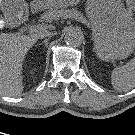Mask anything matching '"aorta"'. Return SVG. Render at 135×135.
<instances>
[{"mask_svg": "<svg viewBox=\"0 0 135 135\" xmlns=\"http://www.w3.org/2000/svg\"><path fill=\"white\" fill-rule=\"evenodd\" d=\"M64 39L67 45L79 47L84 41V35L79 28L70 27L67 29Z\"/></svg>", "mask_w": 135, "mask_h": 135, "instance_id": "aorta-1", "label": "aorta"}]
</instances>
